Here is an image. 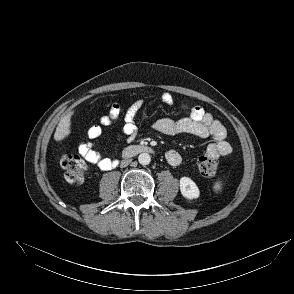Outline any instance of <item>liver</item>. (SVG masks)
<instances>
[{
    "instance_id": "obj_1",
    "label": "liver",
    "mask_w": 294,
    "mask_h": 294,
    "mask_svg": "<svg viewBox=\"0 0 294 294\" xmlns=\"http://www.w3.org/2000/svg\"><path fill=\"white\" fill-rule=\"evenodd\" d=\"M73 115V111L69 112L66 116H64L54 133V139L55 141H62L71 133V116Z\"/></svg>"
}]
</instances>
